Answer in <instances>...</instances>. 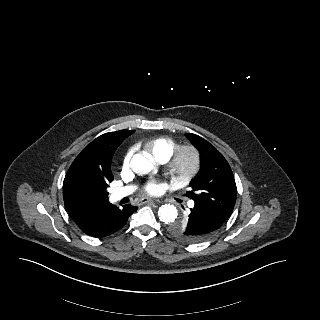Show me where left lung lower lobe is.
Masks as SVG:
<instances>
[{
  "label": "left lung lower lobe",
  "mask_w": 320,
  "mask_h": 320,
  "mask_svg": "<svg viewBox=\"0 0 320 320\" xmlns=\"http://www.w3.org/2000/svg\"><path fill=\"white\" fill-rule=\"evenodd\" d=\"M186 221L189 234L203 241L212 236L226 220L195 204Z\"/></svg>",
  "instance_id": "obj_1"
}]
</instances>
